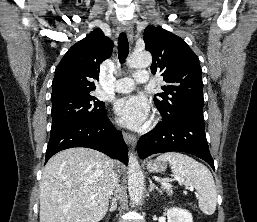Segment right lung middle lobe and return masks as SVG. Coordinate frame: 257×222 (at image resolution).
<instances>
[{"label": "right lung middle lobe", "mask_w": 257, "mask_h": 222, "mask_svg": "<svg viewBox=\"0 0 257 222\" xmlns=\"http://www.w3.org/2000/svg\"><path fill=\"white\" fill-rule=\"evenodd\" d=\"M105 104L92 95L68 97L52 101V126L55 128L68 122L99 121L104 117Z\"/></svg>", "instance_id": "dd1d6c3e"}]
</instances>
